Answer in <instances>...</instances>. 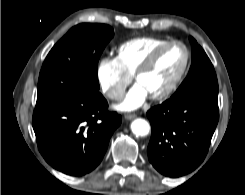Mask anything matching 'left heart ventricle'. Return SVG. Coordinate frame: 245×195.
<instances>
[{
	"label": "left heart ventricle",
	"mask_w": 245,
	"mask_h": 195,
	"mask_svg": "<svg viewBox=\"0 0 245 195\" xmlns=\"http://www.w3.org/2000/svg\"><path fill=\"white\" fill-rule=\"evenodd\" d=\"M183 59L184 52L180 46L169 47L158 56L152 67L138 78L137 83L148 95L159 93L178 73Z\"/></svg>",
	"instance_id": "1"
}]
</instances>
